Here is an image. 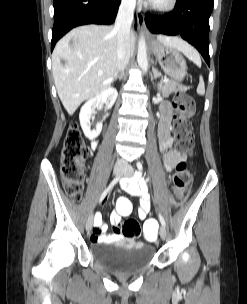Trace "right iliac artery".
<instances>
[{
  "label": "right iliac artery",
  "mask_w": 247,
  "mask_h": 304,
  "mask_svg": "<svg viewBox=\"0 0 247 304\" xmlns=\"http://www.w3.org/2000/svg\"><path fill=\"white\" fill-rule=\"evenodd\" d=\"M120 176H117L116 178L113 179V181L110 183V185L106 188V190L103 192L102 196H101V200L102 201L104 199V197L107 195V193L113 188V186L119 181Z\"/></svg>",
  "instance_id": "1"
}]
</instances>
